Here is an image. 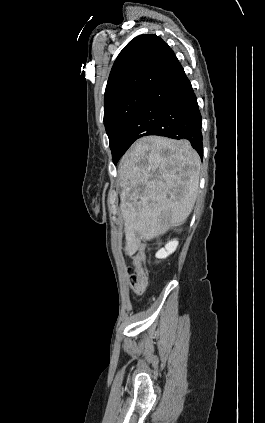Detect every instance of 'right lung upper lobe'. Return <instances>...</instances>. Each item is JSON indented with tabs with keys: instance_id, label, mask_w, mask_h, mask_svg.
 I'll list each match as a JSON object with an SVG mask.
<instances>
[{
	"instance_id": "obj_1",
	"label": "right lung upper lobe",
	"mask_w": 265,
	"mask_h": 423,
	"mask_svg": "<svg viewBox=\"0 0 265 423\" xmlns=\"http://www.w3.org/2000/svg\"><path fill=\"white\" fill-rule=\"evenodd\" d=\"M176 59L172 49L156 35H140L120 52L109 75L104 109L136 91H150Z\"/></svg>"
}]
</instances>
